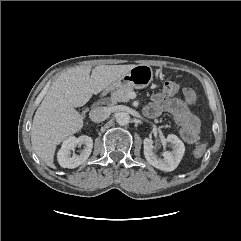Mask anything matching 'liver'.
<instances>
[{"mask_svg": "<svg viewBox=\"0 0 241 241\" xmlns=\"http://www.w3.org/2000/svg\"><path fill=\"white\" fill-rule=\"evenodd\" d=\"M134 66L100 65L92 71L91 66H78L56 78L35 112L31 129L33 150L47 166L56 168V146L83 127V117L74 108L85 105Z\"/></svg>", "mask_w": 241, "mask_h": 241, "instance_id": "liver-1", "label": "liver"}]
</instances>
